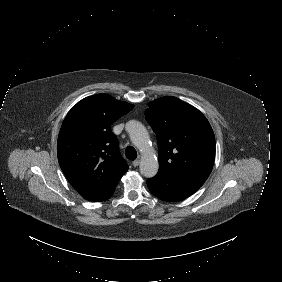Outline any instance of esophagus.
<instances>
[{"label": "esophagus", "instance_id": "esophagus-1", "mask_svg": "<svg viewBox=\"0 0 282 282\" xmlns=\"http://www.w3.org/2000/svg\"><path fill=\"white\" fill-rule=\"evenodd\" d=\"M132 164H133L134 167H137L140 164V160L136 159V160L133 161Z\"/></svg>", "mask_w": 282, "mask_h": 282}]
</instances>
